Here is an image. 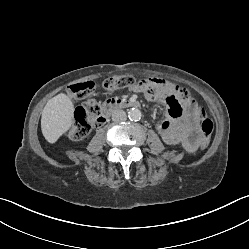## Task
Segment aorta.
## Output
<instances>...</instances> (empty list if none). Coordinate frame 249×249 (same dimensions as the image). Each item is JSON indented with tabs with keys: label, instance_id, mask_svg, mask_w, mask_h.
Segmentation results:
<instances>
[{
	"label": "aorta",
	"instance_id": "1",
	"mask_svg": "<svg viewBox=\"0 0 249 249\" xmlns=\"http://www.w3.org/2000/svg\"><path fill=\"white\" fill-rule=\"evenodd\" d=\"M128 117L131 121H138L141 119V111L137 108H131L128 112Z\"/></svg>",
	"mask_w": 249,
	"mask_h": 249
}]
</instances>
